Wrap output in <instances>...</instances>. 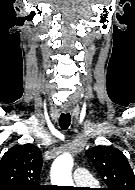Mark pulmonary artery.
<instances>
[{
	"label": "pulmonary artery",
	"instance_id": "obj_1",
	"mask_svg": "<svg viewBox=\"0 0 135 190\" xmlns=\"http://www.w3.org/2000/svg\"><path fill=\"white\" fill-rule=\"evenodd\" d=\"M74 181L77 185L87 186L93 184L90 173L84 168H77L73 173Z\"/></svg>",
	"mask_w": 135,
	"mask_h": 190
}]
</instances>
